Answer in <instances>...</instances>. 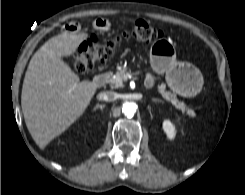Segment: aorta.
<instances>
[{
    "label": "aorta",
    "mask_w": 245,
    "mask_h": 195,
    "mask_svg": "<svg viewBox=\"0 0 245 195\" xmlns=\"http://www.w3.org/2000/svg\"><path fill=\"white\" fill-rule=\"evenodd\" d=\"M137 109V105L133 102H128L123 105L122 112L125 114L127 117H132Z\"/></svg>",
    "instance_id": "aorta-1"
}]
</instances>
